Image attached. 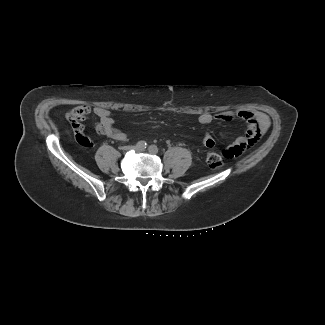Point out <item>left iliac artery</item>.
Listing matches in <instances>:
<instances>
[{
	"instance_id": "44dca946",
	"label": "left iliac artery",
	"mask_w": 325,
	"mask_h": 325,
	"mask_svg": "<svg viewBox=\"0 0 325 325\" xmlns=\"http://www.w3.org/2000/svg\"><path fill=\"white\" fill-rule=\"evenodd\" d=\"M148 150H149V152H151L153 154L158 153V148L156 145H151Z\"/></svg>"
}]
</instances>
